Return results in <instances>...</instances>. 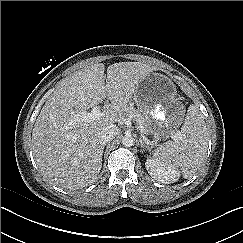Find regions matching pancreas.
<instances>
[{"mask_svg": "<svg viewBox=\"0 0 243 243\" xmlns=\"http://www.w3.org/2000/svg\"><path fill=\"white\" fill-rule=\"evenodd\" d=\"M126 114L127 116L132 117L138 123L143 134H148L149 124L140 111L136 110L134 107H128L126 109Z\"/></svg>", "mask_w": 243, "mask_h": 243, "instance_id": "1", "label": "pancreas"}]
</instances>
